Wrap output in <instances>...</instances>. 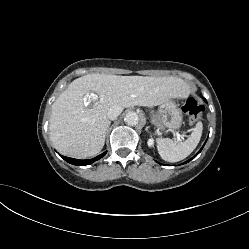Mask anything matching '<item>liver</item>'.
<instances>
[{"label": "liver", "instance_id": "obj_1", "mask_svg": "<svg viewBox=\"0 0 249 249\" xmlns=\"http://www.w3.org/2000/svg\"><path fill=\"white\" fill-rule=\"evenodd\" d=\"M188 90L182 79L173 76H82L72 81L52 105L51 140L62 155L94 157L105 143L109 108L157 106L171 98H184Z\"/></svg>", "mask_w": 249, "mask_h": 249}]
</instances>
